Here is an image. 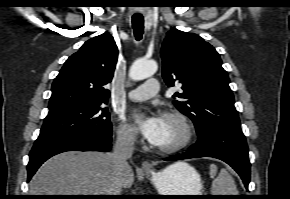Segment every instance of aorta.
<instances>
[{"label":"aorta","instance_id":"aorta-1","mask_svg":"<svg viewBox=\"0 0 290 199\" xmlns=\"http://www.w3.org/2000/svg\"><path fill=\"white\" fill-rule=\"evenodd\" d=\"M158 65L154 60H136L129 71L132 80H143L156 73Z\"/></svg>","mask_w":290,"mask_h":199}]
</instances>
